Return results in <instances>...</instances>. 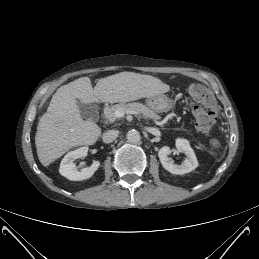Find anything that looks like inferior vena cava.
I'll return each instance as SVG.
<instances>
[{
  "label": "inferior vena cava",
  "instance_id": "1",
  "mask_svg": "<svg viewBox=\"0 0 259 259\" xmlns=\"http://www.w3.org/2000/svg\"><path fill=\"white\" fill-rule=\"evenodd\" d=\"M119 135L118 130H108L102 136V140L104 143H111L113 142Z\"/></svg>",
  "mask_w": 259,
  "mask_h": 259
}]
</instances>
